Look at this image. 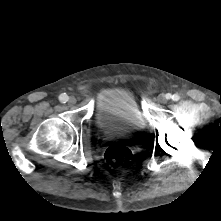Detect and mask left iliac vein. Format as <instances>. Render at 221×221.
Instances as JSON below:
<instances>
[{
	"label": "left iliac vein",
	"instance_id": "left-iliac-vein-1",
	"mask_svg": "<svg viewBox=\"0 0 221 221\" xmlns=\"http://www.w3.org/2000/svg\"><path fill=\"white\" fill-rule=\"evenodd\" d=\"M158 99L161 103H166L167 102V96L164 95V94H161Z\"/></svg>",
	"mask_w": 221,
	"mask_h": 221
}]
</instances>
